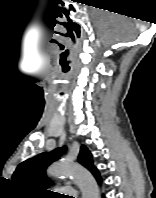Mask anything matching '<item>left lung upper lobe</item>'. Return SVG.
<instances>
[{
	"label": "left lung upper lobe",
	"instance_id": "1",
	"mask_svg": "<svg viewBox=\"0 0 156 198\" xmlns=\"http://www.w3.org/2000/svg\"><path fill=\"white\" fill-rule=\"evenodd\" d=\"M65 150L66 147L57 148L50 153H41L33 158L25 160L18 165L12 176V181L24 188L34 190L35 192L46 193V188L51 182L46 177V167L52 162L58 160ZM78 161L90 170L94 176L98 172L96 167L93 165V159L90 151L84 145L81 147Z\"/></svg>",
	"mask_w": 156,
	"mask_h": 198
}]
</instances>
